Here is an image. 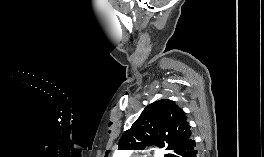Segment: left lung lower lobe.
I'll return each instance as SVG.
<instances>
[{
	"label": "left lung lower lobe",
	"instance_id": "0a47b994",
	"mask_svg": "<svg viewBox=\"0 0 264 157\" xmlns=\"http://www.w3.org/2000/svg\"><path fill=\"white\" fill-rule=\"evenodd\" d=\"M195 141L191 137L179 150L177 157H199L195 149Z\"/></svg>",
	"mask_w": 264,
	"mask_h": 157
}]
</instances>
